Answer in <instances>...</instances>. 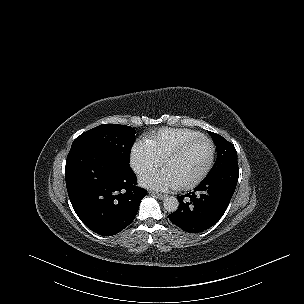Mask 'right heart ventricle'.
I'll return each instance as SVG.
<instances>
[{"label":"right heart ventricle","instance_id":"obj_1","mask_svg":"<svg viewBox=\"0 0 304 304\" xmlns=\"http://www.w3.org/2000/svg\"><path fill=\"white\" fill-rule=\"evenodd\" d=\"M199 136L198 132L187 128H163L149 136L148 144L156 156L164 160L176 148Z\"/></svg>","mask_w":304,"mask_h":304}]
</instances>
